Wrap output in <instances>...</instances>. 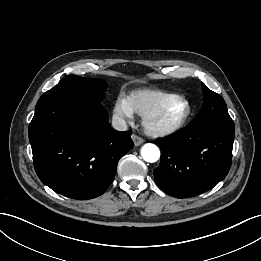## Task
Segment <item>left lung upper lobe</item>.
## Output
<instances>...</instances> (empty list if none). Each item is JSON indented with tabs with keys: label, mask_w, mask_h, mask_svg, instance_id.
I'll list each match as a JSON object with an SVG mask.
<instances>
[{
	"label": "left lung upper lobe",
	"mask_w": 261,
	"mask_h": 261,
	"mask_svg": "<svg viewBox=\"0 0 261 261\" xmlns=\"http://www.w3.org/2000/svg\"><path fill=\"white\" fill-rule=\"evenodd\" d=\"M204 103L198 115L189 125L232 121L224 99L202 83Z\"/></svg>",
	"instance_id": "1"
}]
</instances>
